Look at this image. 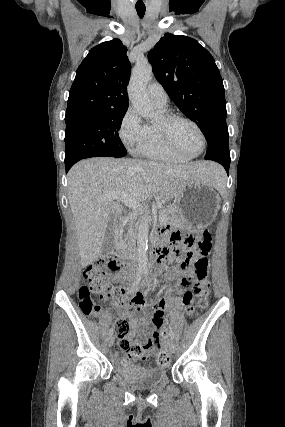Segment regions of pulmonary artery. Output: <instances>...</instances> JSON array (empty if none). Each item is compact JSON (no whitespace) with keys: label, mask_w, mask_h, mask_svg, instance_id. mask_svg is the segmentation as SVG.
Masks as SVG:
<instances>
[{"label":"pulmonary artery","mask_w":285,"mask_h":427,"mask_svg":"<svg viewBox=\"0 0 285 427\" xmlns=\"http://www.w3.org/2000/svg\"><path fill=\"white\" fill-rule=\"evenodd\" d=\"M148 94L151 101L160 108H166L168 104V95L163 87L157 83L153 82L148 87Z\"/></svg>","instance_id":"pulmonary-artery-1"}]
</instances>
